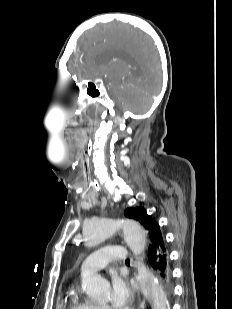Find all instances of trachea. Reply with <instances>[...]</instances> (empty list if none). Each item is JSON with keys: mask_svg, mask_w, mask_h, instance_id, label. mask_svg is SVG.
Masks as SVG:
<instances>
[{"mask_svg": "<svg viewBox=\"0 0 232 309\" xmlns=\"http://www.w3.org/2000/svg\"><path fill=\"white\" fill-rule=\"evenodd\" d=\"M82 170H83V175L84 178L86 179L87 182H89L90 179V164L88 161V158L84 152H82ZM127 262L129 259L126 260Z\"/></svg>", "mask_w": 232, "mask_h": 309, "instance_id": "trachea-1", "label": "trachea"}]
</instances>
